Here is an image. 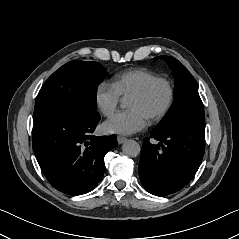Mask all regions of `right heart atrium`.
Masks as SVG:
<instances>
[{
	"mask_svg": "<svg viewBox=\"0 0 239 239\" xmlns=\"http://www.w3.org/2000/svg\"><path fill=\"white\" fill-rule=\"evenodd\" d=\"M96 102L104 115L111 116L119 106L120 94L114 86L102 84L98 88Z\"/></svg>",
	"mask_w": 239,
	"mask_h": 239,
	"instance_id": "obj_1",
	"label": "right heart atrium"
}]
</instances>
